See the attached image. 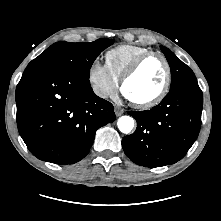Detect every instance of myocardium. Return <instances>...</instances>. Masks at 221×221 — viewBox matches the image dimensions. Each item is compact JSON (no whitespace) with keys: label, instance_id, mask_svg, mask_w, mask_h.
<instances>
[{"label":"myocardium","instance_id":"myocardium-1","mask_svg":"<svg viewBox=\"0 0 221 221\" xmlns=\"http://www.w3.org/2000/svg\"><path fill=\"white\" fill-rule=\"evenodd\" d=\"M152 57H158L162 60L164 66H165V70H166V74H165V81L164 84L162 86V88L160 89V91L152 98L145 100V101H133L131 99L128 98V100L136 107L139 109H148L151 107H154L156 105H158L159 103H161L165 97L167 96V94L169 93L170 87H171V82H172V68H171V64L168 60V58L160 53V52H156V51H150L147 52L143 55H141L128 69L127 71L124 73V75L121 78V90L123 92V94H125V84L140 70V68L142 67V65L150 58Z\"/></svg>","mask_w":221,"mask_h":221}]
</instances>
